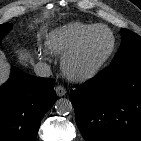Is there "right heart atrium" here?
<instances>
[{
  "label": "right heart atrium",
  "mask_w": 141,
  "mask_h": 141,
  "mask_svg": "<svg viewBox=\"0 0 141 141\" xmlns=\"http://www.w3.org/2000/svg\"><path fill=\"white\" fill-rule=\"evenodd\" d=\"M38 57L40 58V59H43V60H47L48 59V54H47V52H45V51H38Z\"/></svg>",
  "instance_id": "right-heart-atrium-1"
}]
</instances>
